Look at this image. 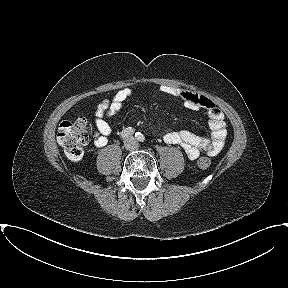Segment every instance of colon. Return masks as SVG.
Segmentation results:
<instances>
[{
	"mask_svg": "<svg viewBox=\"0 0 288 288\" xmlns=\"http://www.w3.org/2000/svg\"><path fill=\"white\" fill-rule=\"evenodd\" d=\"M88 139L87 120L83 117L65 120L59 125L57 141L69 160L77 161L82 158ZM197 164L201 169H207L211 166V160L200 157Z\"/></svg>",
	"mask_w": 288,
	"mask_h": 288,
	"instance_id": "5ec220e1",
	"label": "colon"
}]
</instances>
